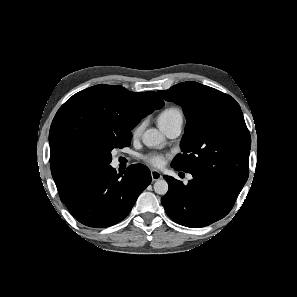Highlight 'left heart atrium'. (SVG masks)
<instances>
[{
    "instance_id": "obj_1",
    "label": "left heart atrium",
    "mask_w": 297,
    "mask_h": 297,
    "mask_svg": "<svg viewBox=\"0 0 297 297\" xmlns=\"http://www.w3.org/2000/svg\"><path fill=\"white\" fill-rule=\"evenodd\" d=\"M167 155L163 153H149L145 156V160L153 167L160 168L165 164Z\"/></svg>"
}]
</instances>
